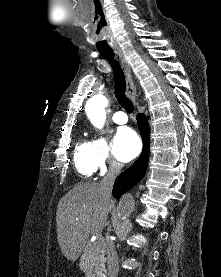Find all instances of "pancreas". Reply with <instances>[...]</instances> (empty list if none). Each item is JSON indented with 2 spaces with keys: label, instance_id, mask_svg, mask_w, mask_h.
<instances>
[{
  "label": "pancreas",
  "instance_id": "pancreas-1",
  "mask_svg": "<svg viewBox=\"0 0 221 277\" xmlns=\"http://www.w3.org/2000/svg\"><path fill=\"white\" fill-rule=\"evenodd\" d=\"M103 249L104 243L97 242L81 256L79 267L87 277H105Z\"/></svg>",
  "mask_w": 221,
  "mask_h": 277
}]
</instances>
